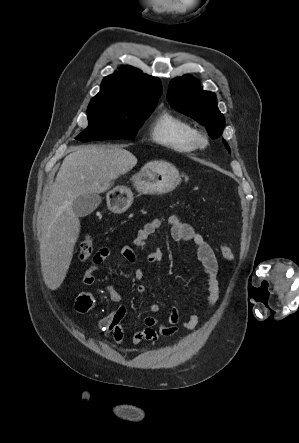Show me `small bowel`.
<instances>
[{"mask_svg": "<svg viewBox=\"0 0 299 443\" xmlns=\"http://www.w3.org/2000/svg\"><path fill=\"white\" fill-rule=\"evenodd\" d=\"M168 223L171 227V235L175 241H192L197 248L198 260L205 272L208 285V303L215 305L219 297L218 284V262L211 246L204 237L195 231V229L184 223L178 216L171 215L167 218H157L148 222L138 231L132 244H124L120 248L122 257L129 263L134 264L137 260L134 248L146 250L147 243L151 240L153 233L161 227L163 223ZM110 255L108 248L99 249L93 257V264L85 271L83 283L92 285L95 283V273L100 264H102ZM163 259V253L159 249L148 250L147 260L150 263H159ZM146 273L143 269H135L133 277L135 280H143ZM110 298L115 303L122 302V296L118 293L112 284L106 286ZM138 292L145 295L149 292L148 287L141 284L137 288ZM94 296L90 292H82L76 299V308L80 312H87L94 306ZM159 305L152 303L149 306V315L143 320L144 328L136 331L131 339L132 346H138L143 341L156 342L160 336L170 338L177 334V324L180 320V312L177 308H172L166 322L159 321L155 314L159 312ZM126 316L125 306L120 304L115 310L105 315L99 321V328L106 336H111L117 344H122L124 340V320ZM198 325V313L196 307H193L184 326L188 330H193Z\"/></svg>", "mask_w": 299, "mask_h": 443, "instance_id": "c3829d8e", "label": "small bowel"}]
</instances>
